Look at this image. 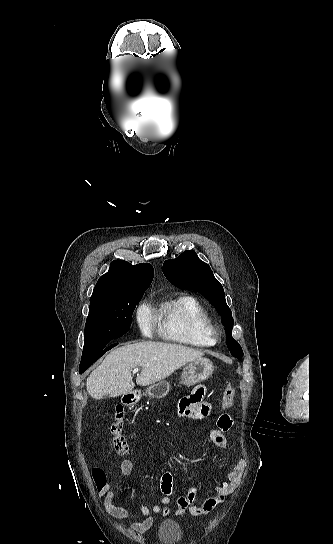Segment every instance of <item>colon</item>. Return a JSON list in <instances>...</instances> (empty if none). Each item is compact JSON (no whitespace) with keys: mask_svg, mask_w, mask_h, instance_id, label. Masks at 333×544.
<instances>
[{"mask_svg":"<svg viewBox=\"0 0 333 544\" xmlns=\"http://www.w3.org/2000/svg\"><path fill=\"white\" fill-rule=\"evenodd\" d=\"M235 397V390L230 384L226 385L220 406L223 410L230 408ZM110 434L115 451L119 455H125L129 451V444L124 434V412L122 408H117L110 425ZM92 476L98 488L106 483V476L102 469L94 468Z\"/></svg>","mask_w":333,"mask_h":544,"instance_id":"colon-1","label":"colon"}]
</instances>
